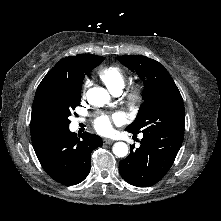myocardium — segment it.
Instances as JSON below:
<instances>
[{"label":"myocardium","mask_w":221,"mask_h":221,"mask_svg":"<svg viewBox=\"0 0 221 221\" xmlns=\"http://www.w3.org/2000/svg\"><path fill=\"white\" fill-rule=\"evenodd\" d=\"M143 98V88L140 84H134L126 93V101L129 106H137Z\"/></svg>","instance_id":"myocardium-1"}]
</instances>
